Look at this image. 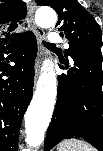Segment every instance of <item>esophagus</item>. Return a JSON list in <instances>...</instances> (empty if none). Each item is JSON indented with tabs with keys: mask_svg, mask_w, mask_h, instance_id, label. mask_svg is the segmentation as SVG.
<instances>
[{
	"mask_svg": "<svg viewBox=\"0 0 103 151\" xmlns=\"http://www.w3.org/2000/svg\"><path fill=\"white\" fill-rule=\"evenodd\" d=\"M35 9H36L35 4L30 3L29 9H28L27 20L31 29L37 34V37H38L37 57L35 60V80H36L39 73L42 56H43V50H44L41 44V40L44 38V31L39 29L35 23V20H34Z\"/></svg>",
	"mask_w": 103,
	"mask_h": 151,
	"instance_id": "1",
	"label": "esophagus"
}]
</instances>
